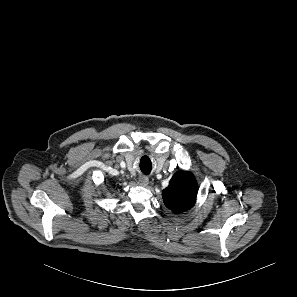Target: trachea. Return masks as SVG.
Returning a JSON list of instances; mask_svg holds the SVG:
<instances>
[{
  "label": "trachea",
  "mask_w": 297,
  "mask_h": 297,
  "mask_svg": "<svg viewBox=\"0 0 297 297\" xmlns=\"http://www.w3.org/2000/svg\"><path fill=\"white\" fill-rule=\"evenodd\" d=\"M141 170H142V172L144 173V174H149V172H150V169L149 168H141Z\"/></svg>",
  "instance_id": "obj_1"
}]
</instances>
